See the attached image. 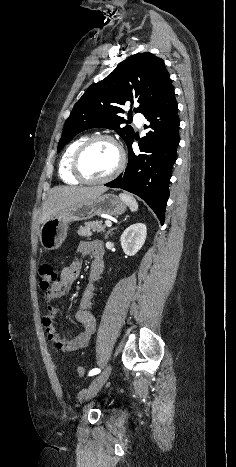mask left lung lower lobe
<instances>
[{"mask_svg":"<svg viewBox=\"0 0 236 467\" xmlns=\"http://www.w3.org/2000/svg\"><path fill=\"white\" fill-rule=\"evenodd\" d=\"M152 130L139 141L140 154L132 150L134 137L127 143L126 170L107 187L121 188L141 197L164 223L169 198V181L179 144L178 105L173 86L144 114Z\"/></svg>","mask_w":236,"mask_h":467,"instance_id":"0a47b994","label":"left lung lower lobe"}]
</instances>
